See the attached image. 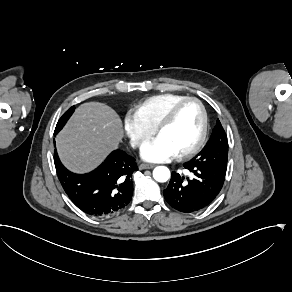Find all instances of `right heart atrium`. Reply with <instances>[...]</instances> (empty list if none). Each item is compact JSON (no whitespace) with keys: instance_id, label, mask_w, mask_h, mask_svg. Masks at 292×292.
<instances>
[{"instance_id":"1","label":"right heart atrium","mask_w":292,"mask_h":292,"mask_svg":"<svg viewBox=\"0 0 292 292\" xmlns=\"http://www.w3.org/2000/svg\"><path fill=\"white\" fill-rule=\"evenodd\" d=\"M124 132L130 139L133 146H142L153 133V129L148 127L133 111H127L123 115Z\"/></svg>"}]
</instances>
